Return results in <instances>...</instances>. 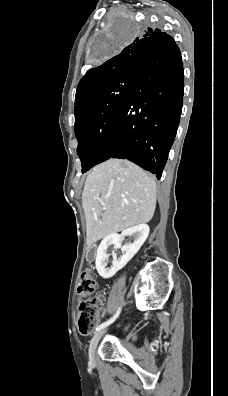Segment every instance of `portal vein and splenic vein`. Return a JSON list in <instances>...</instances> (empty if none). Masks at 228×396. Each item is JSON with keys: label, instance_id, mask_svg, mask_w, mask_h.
<instances>
[{"label": "portal vein and splenic vein", "instance_id": "obj_1", "mask_svg": "<svg viewBox=\"0 0 228 396\" xmlns=\"http://www.w3.org/2000/svg\"><path fill=\"white\" fill-rule=\"evenodd\" d=\"M103 209L106 210V206L105 205H103Z\"/></svg>", "mask_w": 228, "mask_h": 396}]
</instances>
